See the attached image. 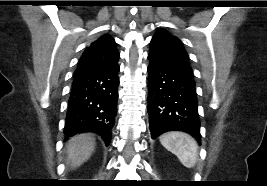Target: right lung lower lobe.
I'll return each mask as SVG.
<instances>
[{
	"instance_id": "right-lung-lower-lobe-1",
	"label": "right lung lower lobe",
	"mask_w": 267,
	"mask_h": 186,
	"mask_svg": "<svg viewBox=\"0 0 267 186\" xmlns=\"http://www.w3.org/2000/svg\"><path fill=\"white\" fill-rule=\"evenodd\" d=\"M119 65L117 62L74 74L68 101L64 134L94 132L108 146L117 113Z\"/></svg>"
}]
</instances>
